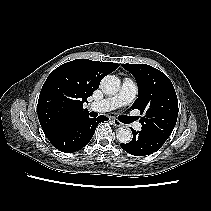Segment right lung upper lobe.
Masks as SVG:
<instances>
[{"label":"right lung upper lobe","mask_w":211,"mask_h":211,"mask_svg":"<svg viewBox=\"0 0 211 211\" xmlns=\"http://www.w3.org/2000/svg\"><path fill=\"white\" fill-rule=\"evenodd\" d=\"M118 67L117 63L76 59L51 72L38 99V119L46 137L62 123L87 116L83 103L99 88L102 78Z\"/></svg>","instance_id":"obj_1"}]
</instances>
